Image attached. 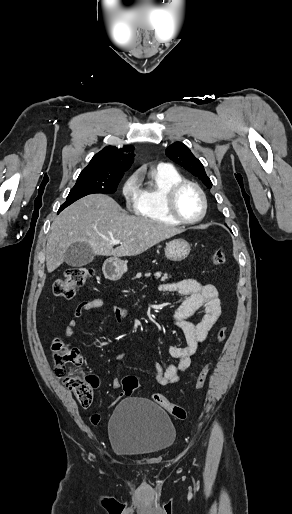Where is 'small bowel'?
<instances>
[{
    "mask_svg": "<svg viewBox=\"0 0 292 514\" xmlns=\"http://www.w3.org/2000/svg\"><path fill=\"white\" fill-rule=\"evenodd\" d=\"M160 290L167 293H174L185 297V300L171 311L173 325L178 328L185 337L184 345H173L168 348L169 355L176 360L163 368L160 364L154 365L155 380L160 386H169L178 382L181 373L185 372L191 365L193 356L198 351L201 343L206 339L208 332L218 321L222 314V303L219 291L215 285L202 283L196 279L185 278L169 282L160 286ZM106 306V301L101 297H96L80 302L74 311V317L65 327L63 334L71 338L75 334L79 320L84 314L91 310H100ZM198 310H203L202 319L194 324L186 320ZM115 317L118 321L130 316L129 309L122 306H115ZM124 359L123 353H118L115 357L117 363ZM115 389H120L121 381L115 378L112 381ZM117 400L121 401L124 393H116ZM113 399L111 404L116 406L118 401ZM107 411L112 409L110 404L105 406Z\"/></svg>",
    "mask_w": 292,
    "mask_h": 514,
    "instance_id": "obj_1",
    "label": "small bowel"
}]
</instances>
